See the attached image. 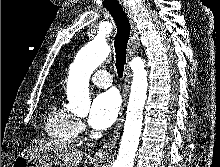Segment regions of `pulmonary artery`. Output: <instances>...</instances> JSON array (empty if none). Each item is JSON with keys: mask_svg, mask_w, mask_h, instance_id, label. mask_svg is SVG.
I'll use <instances>...</instances> for the list:
<instances>
[{"mask_svg": "<svg viewBox=\"0 0 220 167\" xmlns=\"http://www.w3.org/2000/svg\"><path fill=\"white\" fill-rule=\"evenodd\" d=\"M91 82L100 87V88H107L112 85V78L111 75L103 69L96 70L91 76Z\"/></svg>", "mask_w": 220, "mask_h": 167, "instance_id": "pulmonary-artery-1", "label": "pulmonary artery"}]
</instances>
